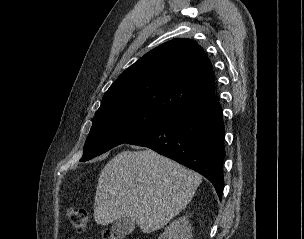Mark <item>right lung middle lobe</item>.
I'll list each match as a JSON object with an SVG mask.
<instances>
[{
    "mask_svg": "<svg viewBox=\"0 0 304 239\" xmlns=\"http://www.w3.org/2000/svg\"><path fill=\"white\" fill-rule=\"evenodd\" d=\"M169 118L168 115L145 108H123L98 114L93 119L81 161L127 143Z\"/></svg>",
    "mask_w": 304,
    "mask_h": 239,
    "instance_id": "1",
    "label": "right lung middle lobe"
}]
</instances>
